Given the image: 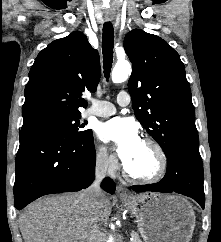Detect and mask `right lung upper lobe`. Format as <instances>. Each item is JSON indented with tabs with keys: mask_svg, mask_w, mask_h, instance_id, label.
Here are the masks:
<instances>
[{
	"mask_svg": "<svg viewBox=\"0 0 221 242\" xmlns=\"http://www.w3.org/2000/svg\"><path fill=\"white\" fill-rule=\"evenodd\" d=\"M100 73L98 51L85 35L73 32L43 49L29 73L22 107L23 126L80 114L84 91L95 92Z\"/></svg>",
	"mask_w": 221,
	"mask_h": 242,
	"instance_id": "right-lung-upper-lobe-1",
	"label": "right lung upper lobe"
}]
</instances>
